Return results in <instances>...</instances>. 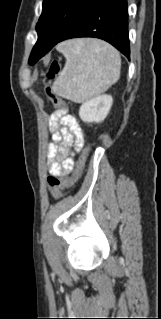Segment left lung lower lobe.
<instances>
[{
    "label": "left lung lower lobe",
    "instance_id": "left-lung-lower-lobe-1",
    "mask_svg": "<svg viewBox=\"0 0 161 319\" xmlns=\"http://www.w3.org/2000/svg\"><path fill=\"white\" fill-rule=\"evenodd\" d=\"M79 37L105 40L130 59L127 0H98L59 42Z\"/></svg>",
    "mask_w": 161,
    "mask_h": 319
}]
</instances>
